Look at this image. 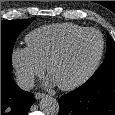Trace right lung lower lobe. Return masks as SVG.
Here are the masks:
<instances>
[{"label": "right lung lower lobe", "mask_w": 115, "mask_h": 115, "mask_svg": "<svg viewBox=\"0 0 115 115\" xmlns=\"http://www.w3.org/2000/svg\"><path fill=\"white\" fill-rule=\"evenodd\" d=\"M34 96L20 89L11 73H1V115H27Z\"/></svg>", "instance_id": "1"}]
</instances>
